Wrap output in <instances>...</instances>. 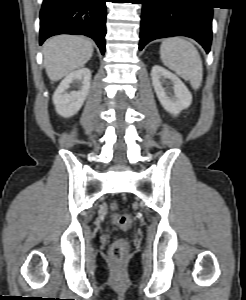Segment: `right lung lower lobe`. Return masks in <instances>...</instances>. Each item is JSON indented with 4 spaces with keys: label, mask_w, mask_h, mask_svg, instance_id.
<instances>
[{
    "label": "right lung lower lobe",
    "mask_w": 246,
    "mask_h": 300,
    "mask_svg": "<svg viewBox=\"0 0 246 300\" xmlns=\"http://www.w3.org/2000/svg\"><path fill=\"white\" fill-rule=\"evenodd\" d=\"M106 0H44L40 12V45L57 34H80L105 52Z\"/></svg>",
    "instance_id": "1"
}]
</instances>
